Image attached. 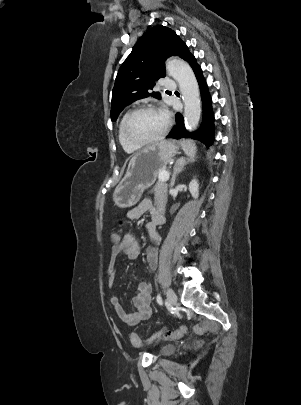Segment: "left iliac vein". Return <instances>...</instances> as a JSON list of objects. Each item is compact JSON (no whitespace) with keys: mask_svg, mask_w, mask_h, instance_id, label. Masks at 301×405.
Returning a JSON list of instances; mask_svg holds the SVG:
<instances>
[{"mask_svg":"<svg viewBox=\"0 0 301 405\" xmlns=\"http://www.w3.org/2000/svg\"><path fill=\"white\" fill-rule=\"evenodd\" d=\"M166 297H167V302L169 303V305L171 306H176L177 304V296L175 294V292L169 288L166 292ZM161 333H158L154 336L151 337V340L155 339L157 336H159Z\"/></svg>","mask_w":301,"mask_h":405,"instance_id":"obj_1","label":"left iliac vein"}]
</instances>
